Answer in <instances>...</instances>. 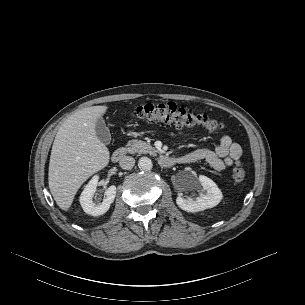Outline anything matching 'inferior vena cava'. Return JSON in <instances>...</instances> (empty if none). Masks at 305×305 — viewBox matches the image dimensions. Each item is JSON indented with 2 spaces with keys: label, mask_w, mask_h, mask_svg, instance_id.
I'll use <instances>...</instances> for the list:
<instances>
[{
  "label": "inferior vena cava",
  "mask_w": 305,
  "mask_h": 305,
  "mask_svg": "<svg viewBox=\"0 0 305 305\" xmlns=\"http://www.w3.org/2000/svg\"><path fill=\"white\" fill-rule=\"evenodd\" d=\"M119 165L122 169L130 170L135 165V159L131 156H124L119 161Z\"/></svg>",
  "instance_id": "obj_1"
}]
</instances>
